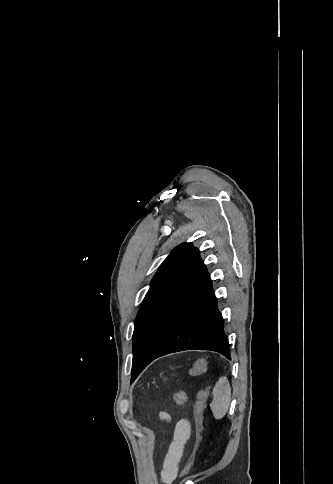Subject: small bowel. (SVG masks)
<instances>
[{
  "label": "small bowel",
  "instance_id": "obj_1",
  "mask_svg": "<svg viewBox=\"0 0 333 484\" xmlns=\"http://www.w3.org/2000/svg\"><path fill=\"white\" fill-rule=\"evenodd\" d=\"M160 416L168 422L171 421L167 412H161ZM190 431V423L186 419H180L174 424L171 441L160 473L162 484H171L177 477L178 465L183 455L184 446L190 437Z\"/></svg>",
  "mask_w": 333,
  "mask_h": 484
}]
</instances>
